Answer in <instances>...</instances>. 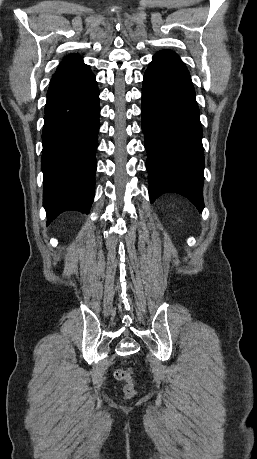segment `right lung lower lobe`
Here are the masks:
<instances>
[{
    "mask_svg": "<svg viewBox=\"0 0 257 459\" xmlns=\"http://www.w3.org/2000/svg\"><path fill=\"white\" fill-rule=\"evenodd\" d=\"M99 115L94 74L49 86L41 160L47 225L65 211L89 213L95 191Z\"/></svg>",
    "mask_w": 257,
    "mask_h": 459,
    "instance_id": "98d812e1",
    "label": "right lung lower lobe"
}]
</instances>
